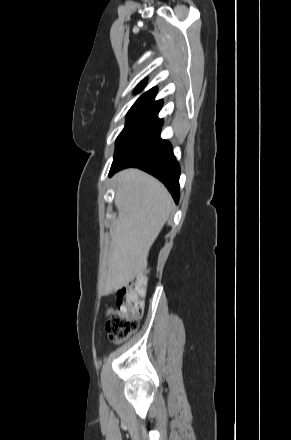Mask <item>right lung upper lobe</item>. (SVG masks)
<instances>
[{
	"mask_svg": "<svg viewBox=\"0 0 291 440\" xmlns=\"http://www.w3.org/2000/svg\"><path fill=\"white\" fill-rule=\"evenodd\" d=\"M144 85H145V81H143V82L140 84L139 89H140V88H143ZM156 93H157V89H156V88H152V89H150L149 91L145 92L143 95H141V96L138 98L137 101H152V102H154V98H155V96H156ZM137 101H136V102H137Z\"/></svg>",
	"mask_w": 291,
	"mask_h": 440,
	"instance_id": "1",
	"label": "right lung upper lobe"
}]
</instances>
